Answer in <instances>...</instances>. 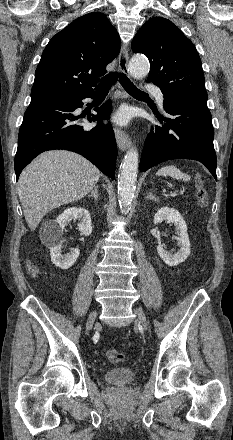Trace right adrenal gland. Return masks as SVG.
Returning <instances> with one entry per match:
<instances>
[{
	"mask_svg": "<svg viewBox=\"0 0 233 440\" xmlns=\"http://www.w3.org/2000/svg\"><path fill=\"white\" fill-rule=\"evenodd\" d=\"M98 186L94 187V190L91 192L90 195H88V197H94V199L97 201L98 200Z\"/></svg>",
	"mask_w": 233,
	"mask_h": 440,
	"instance_id": "1",
	"label": "right adrenal gland"
}]
</instances>
